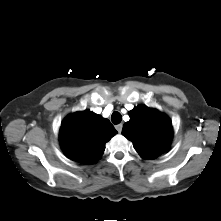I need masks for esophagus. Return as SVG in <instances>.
I'll return each mask as SVG.
<instances>
[{
	"mask_svg": "<svg viewBox=\"0 0 221 221\" xmlns=\"http://www.w3.org/2000/svg\"><path fill=\"white\" fill-rule=\"evenodd\" d=\"M122 127L123 125L122 124H118L115 126L116 130L120 133L122 131Z\"/></svg>",
	"mask_w": 221,
	"mask_h": 221,
	"instance_id": "1",
	"label": "esophagus"
}]
</instances>
